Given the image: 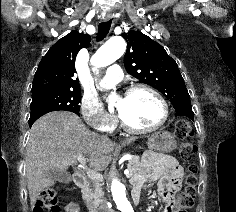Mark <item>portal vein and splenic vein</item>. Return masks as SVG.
I'll use <instances>...</instances> for the list:
<instances>
[{
    "mask_svg": "<svg viewBox=\"0 0 236 212\" xmlns=\"http://www.w3.org/2000/svg\"><path fill=\"white\" fill-rule=\"evenodd\" d=\"M85 160H86V159H85L83 156H81V155L78 156V161H79L82 165L85 164ZM83 168L86 169L85 167H83ZM86 173H87V176H88L90 179H92V180H97V181H99V180H102V179H103V176H102L100 173H98L97 171L88 170ZM124 173L126 174L127 177H130V176H131L129 170H125Z\"/></svg>",
    "mask_w": 236,
    "mask_h": 212,
    "instance_id": "obj_1",
    "label": "portal vein and splenic vein"
}]
</instances>
